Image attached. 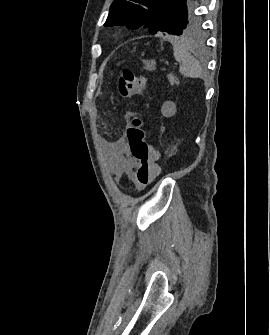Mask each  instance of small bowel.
<instances>
[{"mask_svg": "<svg viewBox=\"0 0 270 335\" xmlns=\"http://www.w3.org/2000/svg\"><path fill=\"white\" fill-rule=\"evenodd\" d=\"M105 147L112 161V169L117 180H120L123 175L130 177L134 167V161L127 155V145L123 139L106 142Z\"/></svg>", "mask_w": 270, "mask_h": 335, "instance_id": "obj_1", "label": "small bowel"}]
</instances>
